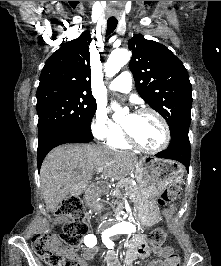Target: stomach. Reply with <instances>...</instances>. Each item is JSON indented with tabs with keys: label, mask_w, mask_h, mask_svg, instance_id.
Returning <instances> with one entry per match:
<instances>
[{
	"label": "stomach",
	"mask_w": 221,
	"mask_h": 266,
	"mask_svg": "<svg viewBox=\"0 0 221 266\" xmlns=\"http://www.w3.org/2000/svg\"><path fill=\"white\" fill-rule=\"evenodd\" d=\"M183 175V167L175 161L151 156H144L138 161L135 176L140 190L134 202L146 222L157 216L151 199L161 194L169 185L179 183Z\"/></svg>",
	"instance_id": "0dacf381"
}]
</instances>
